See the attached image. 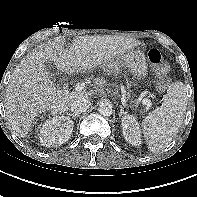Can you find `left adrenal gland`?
<instances>
[{
    "mask_svg": "<svg viewBox=\"0 0 197 197\" xmlns=\"http://www.w3.org/2000/svg\"><path fill=\"white\" fill-rule=\"evenodd\" d=\"M127 112L124 111V108L120 105V113H119V117H122V115H126Z\"/></svg>",
    "mask_w": 197,
    "mask_h": 197,
    "instance_id": "left-adrenal-gland-1",
    "label": "left adrenal gland"
}]
</instances>
